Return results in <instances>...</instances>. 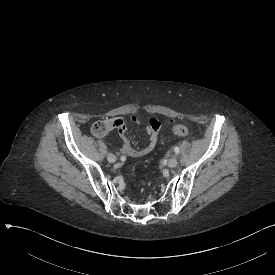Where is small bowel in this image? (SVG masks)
Listing matches in <instances>:
<instances>
[{"mask_svg": "<svg viewBox=\"0 0 275 275\" xmlns=\"http://www.w3.org/2000/svg\"><path fill=\"white\" fill-rule=\"evenodd\" d=\"M132 121L136 122L137 118L133 117ZM112 124L115 128H119L118 134L122 136V148L124 149L125 153H127L129 156L134 158L143 157L155 149L158 142V134L156 131L161 128V123L159 121H154L152 117H147L145 119V124L148 127L144 129V134L148 136V142L143 148L132 147L130 138L128 136H125L127 134V129L125 128L126 122L120 116H115L112 119Z\"/></svg>", "mask_w": 275, "mask_h": 275, "instance_id": "1", "label": "small bowel"}]
</instances>
